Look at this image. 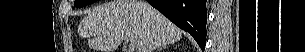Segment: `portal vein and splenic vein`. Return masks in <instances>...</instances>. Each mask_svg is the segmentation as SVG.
Listing matches in <instances>:
<instances>
[{"label":"portal vein and splenic vein","mask_w":305,"mask_h":52,"mask_svg":"<svg viewBox=\"0 0 305 52\" xmlns=\"http://www.w3.org/2000/svg\"><path fill=\"white\" fill-rule=\"evenodd\" d=\"M127 41L130 42L129 49L131 51H133L135 49V47H136L135 43L133 41H129V40H127Z\"/></svg>","instance_id":"portal-vein-and-splenic-vein-1"}]
</instances>
